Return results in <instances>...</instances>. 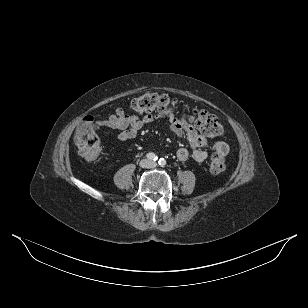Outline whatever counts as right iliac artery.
Segmentation results:
<instances>
[{
	"label": "right iliac artery",
	"instance_id": "1",
	"mask_svg": "<svg viewBox=\"0 0 308 308\" xmlns=\"http://www.w3.org/2000/svg\"><path fill=\"white\" fill-rule=\"evenodd\" d=\"M146 157H147L148 159L152 160V161L158 160L157 155L154 154V153H148V154L146 155Z\"/></svg>",
	"mask_w": 308,
	"mask_h": 308
}]
</instances>
